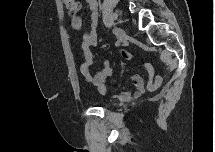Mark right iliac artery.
<instances>
[{"label": "right iliac artery", "mask_w": 215, "mask_h": 152, "mask_svg": "<svg viewBox=\"0 0 215 152\" xmlns=\"http://www.w3.org/2000/svg\"><path fill=\"white\" fill-rule=\"evenodd\" d=\"M115 45L118 46L119 45V41H116Z\"/></svg>", "instance_id": "1"}]
</instances>
